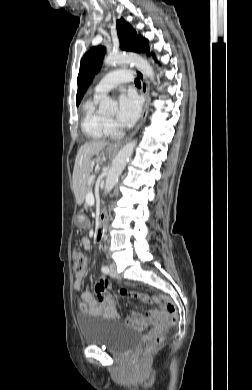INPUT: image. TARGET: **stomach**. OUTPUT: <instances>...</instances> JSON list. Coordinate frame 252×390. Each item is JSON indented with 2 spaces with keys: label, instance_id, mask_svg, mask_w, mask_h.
<instances>
[{
  "label": "stomach",
  "instance_id": "0dacf381",
  "mask_svg": "<svg viewBox=\"0 0 252 390\" xmlns=\"http://www.w3.org/2000/svg\"><path fill=\"white\" fill-rule=\"evenodd\" d=\"M77 223L79 226H85L86 225V217L83 214H79L77 216Z\"/></svg>",
  "mask_w": 252,
  "mask_h": 390
}]
</instances>
